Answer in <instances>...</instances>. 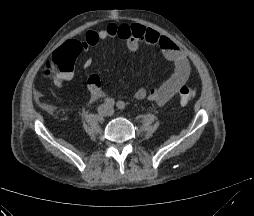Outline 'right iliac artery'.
<instances>
[{
	"label": "right iliac artery",
	"instance_id": "right-iliac-artery-1",
	"mask_svg": "<svg viewBox=\"0 0 254 216\" xmlns=\"http://www.w3.org/2000/svg\"><path fill=\"white\" fill-rule=\"evenodd\" d=\"M104 102H105V104H106L107 106H109V107H112V106H114V104H115V101H114V99H112V98H106Z\"/></svg>",
	"mask_w": 254,
	"mask_h": 216
}]
</instances>
